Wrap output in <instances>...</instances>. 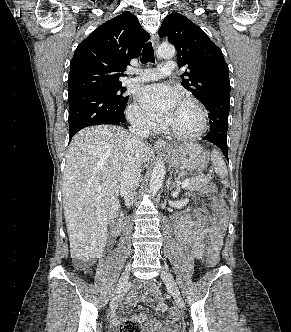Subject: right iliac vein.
I'll return each instance as SVG.
<instances>
[{
    "instance_id": "63e3f726",
    "label": "right iliac vein",
    "mask_w": 291,
    "mask_h": 332,
    "mask_svg": "<svg viewBox=\"0 0 291 332\" xmlns=\"http://www.w3.org/2000/svg\"><path fill=\"white\" fill-rule=\"evenodd\" d=\"M129 275H130V268L127 267L125 269V271L122 273L120 279H119V282L115 288V291H114V294H113V297H112V300L110 302V308L113 309L116 304L118 303L120 297H121V294L127 284V281L129 279Z\"/></svg>"
}]
</instances>
